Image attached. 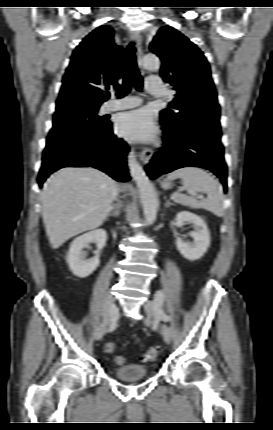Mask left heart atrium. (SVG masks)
Masks as SVG:
<instances>
[{
  "label": "left heart atrium",
  "mask_w": 273,
  "mask_h": 430,
  "mask_svg": "<svg viewBox=\"0 0 273 430\" xmlns=\"http://www.w3.org/2000/svg\"><path fill=\"white\" fill-rule=\"evenodd\" d=\"M119 134L128 139H150L156 133L152 115L147 109L134 110L123 114L117 123Z\"/></svg>",
  "instance_id": "1"
}]
</instances>
